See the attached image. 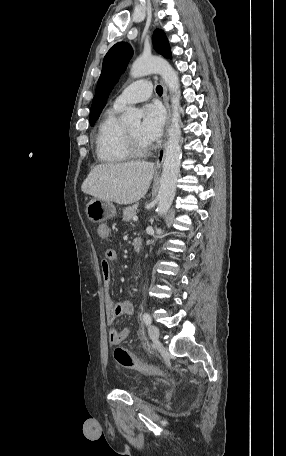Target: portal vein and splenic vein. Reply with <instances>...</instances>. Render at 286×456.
<instances>
[{
    "mask_svg": "<svg viewBox=\"0 0 286 456\" xmlns=\"http://www.w3.org/2000/svg\"><path fill=\"white\" fill-rule=\"evenodd\" d=\"M138 220V217L137 216H133V221H137Z\"/></svg>",
    "mask_w": 286,
    "mask_h": 456,
    "instance_id": "1",
    "label": "portal vein and splenic vein"
}]
</instances>
